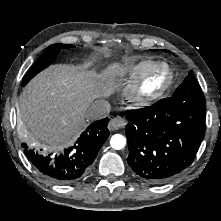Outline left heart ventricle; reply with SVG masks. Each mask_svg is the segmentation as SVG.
<instances>
[{
  "label": "left heart ventricle",
  "mask_w": 221,
  "mask_h": 221,
  "mask_svg": "<svg viewBox=\"0 0 221 221\" xmlns=\"http://www.w3.org/2000/svg\"><path fill=\"white\" fill-rule=\"evenodd\" d=\"M161 80L162 78L160 76H157L152 80V84H158L161 82Z\"/></svg>",
  "instance_id": "b2bd125f"
}]
</instances>
